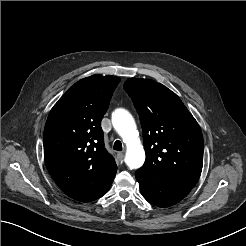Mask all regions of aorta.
Listing matches in <instances>:
<instances>
[{"label": "aorta", "instance_id": "aorta-1", "mask_svg": "<svg viewBox=\"0 0 246 246\" xmlns=\"http://www.w3.org/2000/svg\"><path fill=\"white\" fill-rule=\"evenodd\" d=\"M112 124L126 144V165L130 169L140 168L145 161V151L138 138L134 118L127 110L116 109L112 114Z\"/></svg>", "mask_w": 246, "mask_h": 246}]
</instances>
